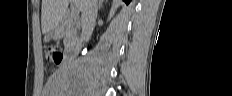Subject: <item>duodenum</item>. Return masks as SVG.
<instances>
[{
  "instance_id": "410a0bca",
  "label": "duodenum",
  "mask_w": 232,
  "mask_h": 96,
  "mask_svg": "<svg viewBox=\"0 0 232 96\" xmlns=\"http://www.w3.org/2000/svg\"><path fill=\"white\" fill-rule=\"evenodd\" d=\"M80 49H81V43H78L75 47L68 49L65 52L66 60L67 61H74L77 58V56L80 52Z\"/></svg>"
}]
</instances>
